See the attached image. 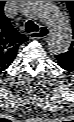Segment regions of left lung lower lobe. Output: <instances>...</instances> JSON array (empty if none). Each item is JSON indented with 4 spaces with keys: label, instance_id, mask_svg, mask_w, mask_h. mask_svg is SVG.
I'll return each mask as SVG.
<instances>
[{
    "label": "left lung lower lobe",
    "instance_id": "left-lung-lower-lobe-1",
    "mask_svg": "<svg viewBox=\"0 0 74 122\" xmlns=\"http://www.w3.org/2000/svg\"><path fill=\"white\" fill-rule=\"evenodd\" d=\"M56 60H57L58 65H59L61 68L65 69V70H67V71H74V64L69 63V62H67V61H64V60L61 59V58H56Z\"/></svg>",
    "mask_w": 74,
    "mask_h": 122
}]
</instances>
